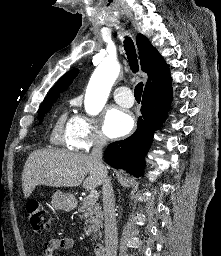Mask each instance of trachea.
Wrapping results in <instances>:
<instances>
[{"instance_id":"obj_1","label":"trachea","mask_w":221,"mask_h":256,"mask_svg":"<svg viewBox=\"0 0 221 256\" xmlns=\"http://www.w3.org/2000/svg\"><path fill=\"white\" fill-rule=\"evenodd\" d=\"M124 48H125L127 59L131 66L132 71L134 73L138 72L139 65H138V59L136 55V49L133 41L130 38H126L124 40ZM142 91H143V83L140 82L136 85L134 89V96L137 101L141 100Z\"/></svg>"}]
</instances>
